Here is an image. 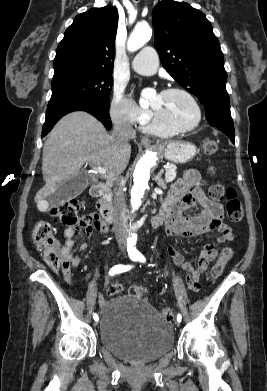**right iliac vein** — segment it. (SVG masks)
Segmentation results:
<instances>
[{
	"mask_svg": "<svg viewBox=\"0 0 267 391\" xmlns=\"http://www.w3.org/2000/svg\"><path fill=\"white\" fill-rule=\"evenodd\" d=\"M97 325H98V322H97V321H95V322H94V326H97Z\"/></svg>",
	"mask_w": 267,
	"mask_h": 391,
	"instance_id": "obj_1",
	"label": "right iliac vein"
}]
</instances>
